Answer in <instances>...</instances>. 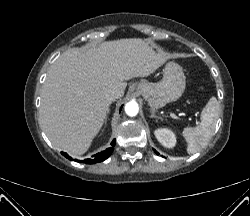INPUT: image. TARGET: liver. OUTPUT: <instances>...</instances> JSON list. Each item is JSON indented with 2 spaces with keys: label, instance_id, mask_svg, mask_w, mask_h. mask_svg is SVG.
Listing matches in <instances>:
<instances>
[{
  "label": "liver",
  "instance_id": "liver-1",
  "mask_svg": "<svg viewBox=\"0 0 250 216\" xmlns=\"http://www.w3.org/2000/svg\"><path fill=\"white\" fill-rule=\"evenodd\" d=\"M167 57L140 38L72 48L50 67L41 94L40 124L51 143L72 155H82L100 131L111 101L109 89L124 95L134 77L154 73Z\"/></svg>",
  "mask_w": 250,
  "mask_h": 216
}]
</instances>
